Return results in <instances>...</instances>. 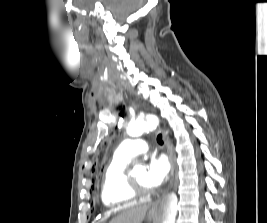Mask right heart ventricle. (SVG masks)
<instances>
[{
	"instance_id": "e07e8e85",
	"label": "right heart ventricle",
	"mask_w": 267,
	"mask_h": 223,
	"mask_svg": "<svg viewBox=\"0 0 267 223\" xmlns=\"http://www.w3.org/2000/svg\"><path fill=\"white\" fill-rule=\"evenodd\" d=\"M128 158L114 154L107 165L101 185V201L111 211L119 210L133 202V197L127 187Z\"/></svg>"
}]
</instances>
